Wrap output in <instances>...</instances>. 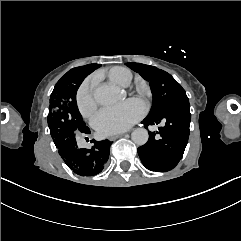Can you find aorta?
Returning a JSON list of instances; mask_svg holds the SVG:
<instances>
[{
	"label": "aorta",
	"mask_w": 241,
	"mask_h": 241,
	"mask_svg": "<svg viewBox=\"0 0 241 241\" xmlns=\"http://www.w3.org/2000/svg\"><path fill=\"white\" fill-rule=\"evenodd\" d=\"M119 89L111 84H100L94 90L95 100L104 106L112 105L119 99ZM132 141L138 145L143 146L149 139L148 131L145 128H137L131 134Z\"/></svg>",
	"instance_id": "aorta-1"
}]
</instances>
